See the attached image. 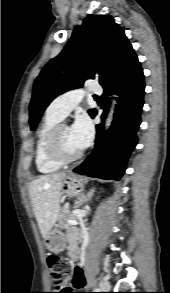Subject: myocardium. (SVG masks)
I'll use <instances>...</instances> for the list:
<instances>
[{
  "mask_svg": "<svg viewBox=\"0 0 170 293\" xmlns=\"http://www.w3.org/2000/svg\"><path fill=\"white\" fill-rule=\"evenodd\" d=\"M62 126H66L64 124H57L49 134L48 141H47V154L49 158L59 164H68L78 160L83 152L82 150L78 151L72 156H65L61 152L60 142H59V131Z\"/></svg>",
  "mask_w": 170,
  "mask_h": 293,
  "instance_id": "f54148a6",
  "label": "myocardium"
}]
</instances>
